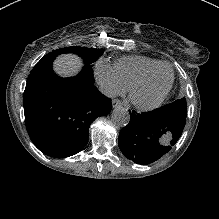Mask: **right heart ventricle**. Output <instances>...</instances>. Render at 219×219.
<instances>
[{
    "mask_svg": "<svg viewBox=\"0 0 219 219\" xmlns=\"http://www.w3.org/2000/svg\"><path fill=\"white\" fill-rule=\"evenodd\" d=\"M158 63V60L142 55L125 56L114 62L115 76L125 85H129L142 72Z\"/></svg>",
    "mask_w": 219,
    "mask_h": 219,
    "instance_id": "1",
    "label": "right heart ventricle"
}]
</instances>
